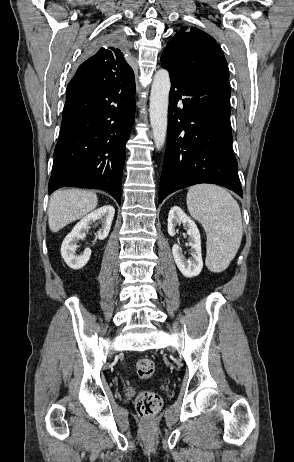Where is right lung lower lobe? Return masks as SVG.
<instances>
[{
    "instance_id": "98d812e1",
    "label": "right lung lower lobe",
    "mask_w": 294,
    "mask_h": 462,
    "mask_svg": "<svg viewBox=\"0 0 294 462\" xmlns=\"http://www.w3.org/2000/svg\"><path fill=\"white\" fill-rule=\"evenodd\" d=\"M134 112V76L84 95L67 92L48 193L63 186L103 189L120 204Z\"/></svg>"
}]
</instances>
